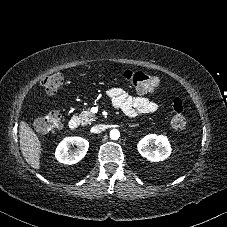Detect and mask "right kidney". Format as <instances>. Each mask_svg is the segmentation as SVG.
Instances as JSON below:
<instances>
[{
	"label": "right kidney",
	"instance_id": "ca27d5eb",
	"mask_svg": "<svg viewBox=\"0 0 227 227\" xmlns=\"http://www.w3.org/2000/svg\"><path fill=\"white\" fill-rule=\"evenodd\" d=\"M74 145L77 148L73 151L70 150V147ZM88 148V140L81 137H67L56 148L55 156L60 163L71 165L83 159Z\"/></svg>",
	"mask_w": 227,
	"mask_h": 227
}]
</instances>
